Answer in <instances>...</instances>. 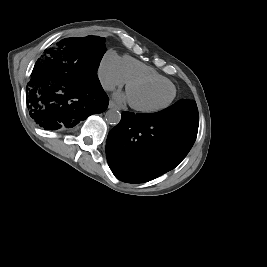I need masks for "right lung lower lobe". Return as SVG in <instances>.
Returning a JSON list of instances; mask_svg holds the SVG:
<instances>
[{"mask_svg": "<svg viewBox=\"0 0 267 267\" xmlns=\"http://www.w3.org/2000/svg\"><path fill=\"white\" fill-rule=\"evenodd\" d=\"M27 85V107L34 122L45 130H65L108 107L97 70L72 49L59 44L45 51Z\"/></svg>", "mask_w": 267, "mask_h": 267, "instance_id": "98d812e1", "label": "right lung lower lobe"}]
</instances>
